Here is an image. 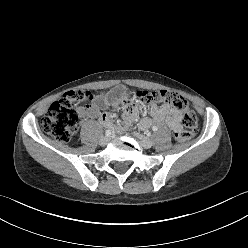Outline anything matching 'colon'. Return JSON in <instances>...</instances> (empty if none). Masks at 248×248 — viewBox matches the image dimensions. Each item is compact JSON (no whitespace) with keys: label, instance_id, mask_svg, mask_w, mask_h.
<instances>
[{"label":"colon","instance_id":"obj_1","mask_svg":"<svg viewBox=\"0 0 248 248\" xmlns=\"http://www.w3.org/2000/svg\"><path fill=\"white\" fill-rule=\"evenodd\" d=\"M103 95L75 89L66 92L58 101L54 102L42 118L43 130L57 141L66 143L77 130L78 112L88 107L91 102ZM129 99L147 105L157 103L168 104L176 111L182 113L184 128L175 133V139L184 142L191 138L198 130V118L187 101L178 93L172 91H137Z\"/></svg>","mask_w":248,"mask_h":248}]
</instances>
